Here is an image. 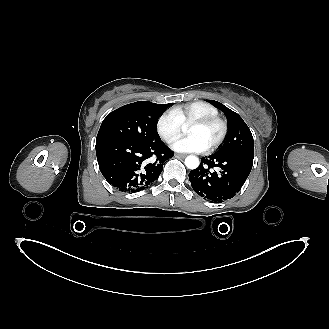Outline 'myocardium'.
Here are the masks:
<instances>
[{
    "label": "myocardium",
    "instance_id": "obj_1",
    "mask_svg": "<svg viewBox=\"0 0 329 329\" xmlns=\"http://www.w3.org/2000/svg\"><path fill=\"white\" fill-rule=\"evenodd\" d=\"M213 123H216L220 126V134L218 138L206 149V151L208 152H212L216 150L224 142L228 134L227 122L219 116L200 117L189 122V126L190 125L206 126Z\"/></svg>",
    "mask_w": 329,
    "mask_h": 329
}]
</instances>
